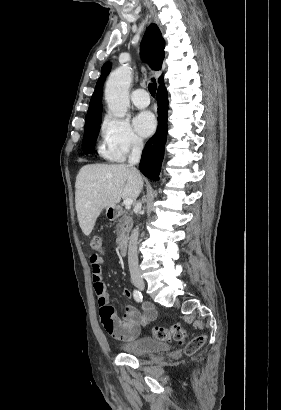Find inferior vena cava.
Here are the masks:
<instances>
[{
  "mask_svg": "<svg viewBox=\"0 0 281 410\" xmlns=\"http://www.w3.org/2000/svg\"><path fill=\"white\" fill-rule=\"evenodd\" d=\"M142 150H143V142L141 140L135 141L133 143L132 152L128 158V163H129L128 166L136 171L138 170L135 168V165H137L140 161ZM137 208L139 212L141 209L140 202L137 204ZM138 235H139V231H138V227H136L130 236L129 247H128V263H129V270H130L132 281L142 279L139 266H138V252H137Z\"/></svg>",
  "mask_w": 281,
  "mask_h": 410,
  "instance_id": "602c4592",
  "label": "inferior vena cava"
}]
</instances>
